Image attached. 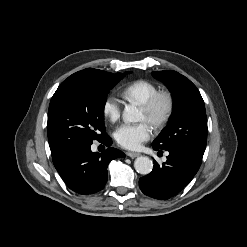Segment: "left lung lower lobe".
<instances>
[{
	"label": "left lung lower lobe",
	"instance_id": "0a47b994",
	"mask_svg": "<svg viewBox=\"0 0 247 247\" xmlns=\"http://www.w3.org/2000/svg\"><path fill=\"white\" fill-rule=\"evenodd\" d=\"M154 150L160 148L152 144ZM167 161L161 166L154 161L153 171L141 177L139 187L148 196L167 199L180 192L194 177L202 163L203 154L186 148L167 150Z\"/></svg>",
	"mask_w": 247,
	"mask_h": 247
}]
</instances>
